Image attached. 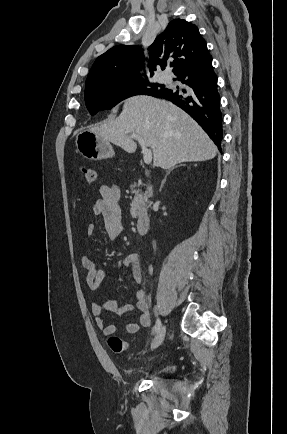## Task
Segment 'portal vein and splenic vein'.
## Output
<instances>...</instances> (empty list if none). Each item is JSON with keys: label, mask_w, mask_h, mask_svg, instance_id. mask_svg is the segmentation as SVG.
Here are the masks:
<instances>
[{"label": "portal vein and splenic vein", "mask_w": 287, "mask_h": 434, "mask_svg": "<svg viewBox=\"0 0 287 434\" xmlns=\"http://www.w3.org/2000/svg\"><path fill=\"white\" fill-rule=\"evenodd\" d=\"M131 137L133 139H136L139 142V144L141 145L142 152H143V160H144L145 164H147V165L150 164L152 161V151H151V149L147 148L145 140L142 137H140L139 135L134 134V133L131 134Z\"/></svg>", "instance_id": "1"}]
</instances>
